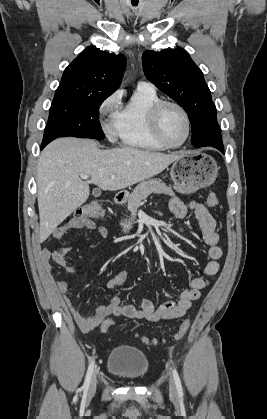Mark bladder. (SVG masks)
I'll return each instance as SVG.
<instances>
[{
  "instance_id": "obj_1",
  "label": "bladder",
  "mask_w": 267,
  "mask_h": 419,
  "mask_svg": "<svg viewBox=\"0 0 267 419\" xmlns=\"http://www.w3.org/2000/svg\"><path fill=\"white\" fill-rule=\"evenodd\" d=\"M107 369L115 377L127 381H140L148 374L150 362L141 350L127 345H119L111 350Z\"/></svg>"
}]
</instances>
